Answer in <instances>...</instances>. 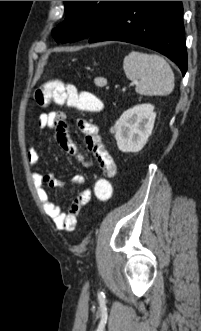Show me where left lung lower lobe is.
I'll use <instances>...</instances> for the list:
<instances>
[{
  "label": "left lung lower lobe",
  "mask_w": 201,
  "mask_h": 331,
  "mask_svg": "<svg viewBox=\"0 0 201 331\" xmlns=\"http://www.w3.org/2000/svg\"><path fill=\"white\" fill-rule=\"evenodd\" d=\"M181 1H120L89 42L124 41L148 47L187 70Z\"/></svg>",
  "instance_id": "left-lung-lower-lobe-1"
}]
</instances>
